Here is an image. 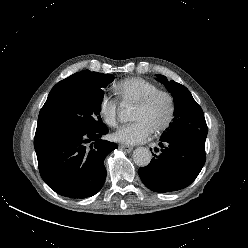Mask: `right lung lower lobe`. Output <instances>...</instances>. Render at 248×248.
Returning a JSON list of instances; mask_svg holds the SVG:
<instances>
[{"mask_svg":"<svg viewBox=\"0 0 248 248\" xmlns=\"http://www.w3.org/2000/svg\"><path fill=\"white\" fill-rule=\"evenodd\" d=\"M107 133L106 126L98 130L37 127L34 148L45 183L70 198L98 193L107 174L104 159L118 148L116 143L101 139Z\"/></svg>","mask_w":248,"mask_h":248,"instance_id":"right-lung-lower-lobe-1","label":"right lung lower lobe"}]
</instances>
